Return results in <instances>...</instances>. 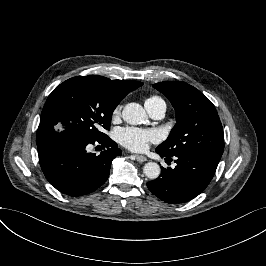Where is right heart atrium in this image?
<instances>
[{
    "label": "right heart atrium",
    "mask_w": 266,
    "mask_h": 266,
    "mask_svg": "<svg viewBox=\"0 0 266 266\" xmlns=\"http://www.w3.org/2000/svg\"><path fill=\"white\" fill-rule=\"evenodd\" d=\"M123 105L121 103H118L115 105V107L112 110V118H118L121 115Z\"/></svg>",
    "instance_id": "right-heart-atrium-1"
}]
</instances>
